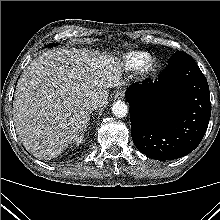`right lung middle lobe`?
I'll return each instance as SVG.
<instances>
[{
    "label": "right lung middle lobe",
    "instance_id": "1",
    "mask_svg": "<svg viewBox=\"0 0 220 220\" xmlns=\"http://www.w3.org/2000/svg\"><path fill=\"white\" fill-rule=\"evenodd\" d=\"M48 46H54V43L49 44Z\"/></svg>",
    "mask_w": 220,
    "mask_h": 220
}]
</instances>
